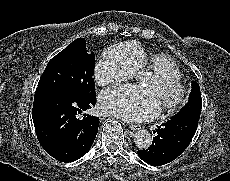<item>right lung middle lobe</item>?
<instances>
[{
	"label": "right lung middle lobe",
	"instance_id": "obj_1",
	"mask_svg": "<svg viewBox=\"0 0 230 181\" xmlns=\"http://www.w3.org/2000/svg\"><path fill=\"white\" fill-rule=\"evenodd\" d=\"M94 53L86 52V41L77 38L54 56L40 78L35 96L42 93H70L95 97Z\"/></svg>",
	"mask_w": 230,
	"mask_h": 181
}]
</instances>
